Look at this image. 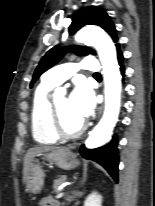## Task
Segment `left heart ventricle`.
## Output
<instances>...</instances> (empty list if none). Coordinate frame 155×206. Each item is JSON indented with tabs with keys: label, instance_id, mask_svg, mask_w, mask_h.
<instances>
[{
	"label": "left heart ventricle",
	"instance_id": "b2bd125f",
	"mask_svg": "<svg viewBox=\"0 0 155 206\" xmlns=\"http://www.w3.org/2000/svg\"><path fill=\"white\" fill-rule=\"evenodd\" d=\"M63 126L67 130L76 129L83 122L77 118L71 110L69 99L65 96L59 97L55 100Z\"/></svg>",
	"mask_w": 155,
	"mask_h": 206
}]
</instances>
